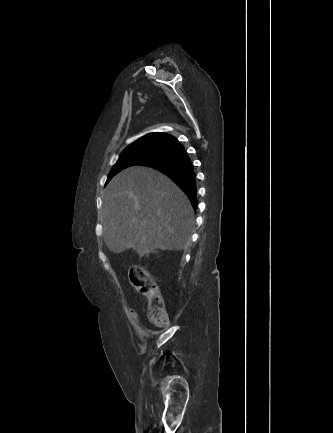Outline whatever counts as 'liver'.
<instances>
[{
    "mask_svg": "<svg viewBox=\"0 0 333 433\" xmlns=\"http://www.w3.org/2000/svg\"><path fill=\"white\" fill-rule=\"evenodd\" d=\"M104 242L115 254L133 249L145 256L156 248L182 250L189 242L193 208L166 175L140 166L118 173L102 197Z\"/></svg>",
    "mask_w": 333,
    "mask_h": 433,
    "instance_id": "obj_1",
    "label": "liver"
}]
</instances>
